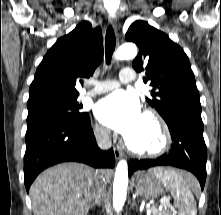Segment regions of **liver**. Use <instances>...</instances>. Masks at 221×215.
Returning a JSON list of instances; mask_svg holds the SVG:
<instances>
[{
  "mask_svg": "<svg viewBox=\"0 0 221 215\" xmlns=\"http://www.w3.org/2000/svg\"><path fill=\"white\" fill-rule=\"evenodd\" d=\"M108 170L99 172L78 163H63L43 171L30 187L34 215H86L96 190L105 184Z\"/></svg>",
  "mask_w": 221,
  "mask_h": 215,
  "instance_id": "liver-1",
  "label": "liver"
}]
</instances>
